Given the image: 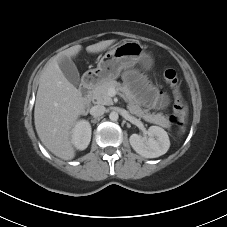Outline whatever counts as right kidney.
<instances>
[{"instance_id":"ca27d5eb","label":"right kidney","mask_w":227,"mask_h":227,"mask_svg":"<svg viewBox=\"0 0 227 227\" xmlns=\"http://www.w3.org/2000/svg\"><path fill=\"white\" fill-rule=\"evenodd\" d=\"M72 143L79 149L84 150L91 140V125L86 120L78 121L72 129Z\"/></svg>"}]
</instances>
